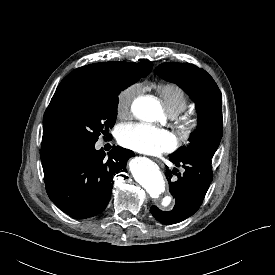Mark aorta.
Masks as SVG:
<instances>
[{"mask_svg":"<svg viewBox=\"0 0 275 275\" xmlns=\"http://www.w3.org/2000/svg\"><path fill=\"white\" fill-rule=\"evenodd\" d=\"M133 113L144 121H154L161 115V106L157 99L152 96H142L137 98L132 105ZM131 172L135 180L148 192V194L158 199L165 190V181L159 167L151 160L139 158L131 164ZM170 197L162 201L163 206L169 205Z\"/></svg>","mask_w":275,"mask_h":275,"instance_id":"762f6f07","label":"aorta"}]
</instances>
